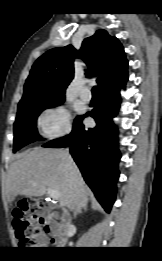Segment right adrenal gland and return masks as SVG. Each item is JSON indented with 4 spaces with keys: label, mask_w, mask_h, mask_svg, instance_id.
Returning a JSON list of instances; mask_svg holds the SVG:
<instances>
[{
    "label": "right adrenal gland",
    "mask_w": 162,
    "mask_h": 261,
    "mask_svg": "<svg viewBox=\"0 0 162 261\" xmlns=\"http://www.w3.org/2000/svg\"><path fill=\"white\" fill-rule=\"evenodd\" d=\"M82 209H84V211H87V206H79L76 208V210L74 211V218H76V216L80 213H82Z\"/></svg>",
    "instance_id": "obj_1"
}]
</instances>
